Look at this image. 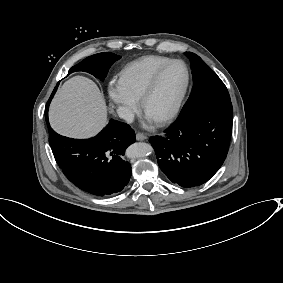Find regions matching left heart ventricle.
Returning a JSON list of instances; mask_svg holds the SVG:
<instances>
[{
	"label": "left heart ventricle",
	"mask_w": 283,
	"mask_h": 283,
	"mask_svg": "<svg viewBox=\"0 0 283 283\" xmlns=\"http://www.w3.org/2000/svg\"><path fill=\"white\" fill-rule=\"evenodd\" d=\"M185 80L186 72L183 65H171L159 78L153 94L144 106V114L154 120L167 114L181 93Z\"/></svg>",
	"instance_id": "b2bd125f"
}]
</instances>
